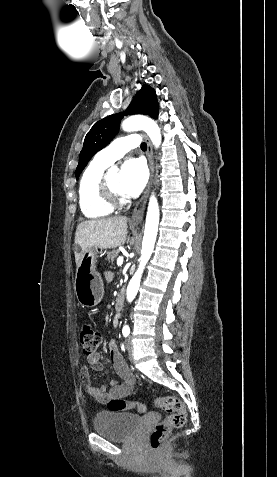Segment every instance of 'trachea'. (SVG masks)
<instances>
[{
	"instance_id": "1",
	"label": "trachea",
	"mask_w": 277,
	"mask_h": 477,
	"mask_svg": "<svg viewBox=\"0 0 277 477\" xmlns=\"http://www.w3.org/2000/svg\"><path fill=\"white\" fill-rule=\"evenodd\" d=\"M141 149L144 150V151L147 150V145H146L145 142H143V143L141 144Z\"/></svg>"
}]
</instances>
